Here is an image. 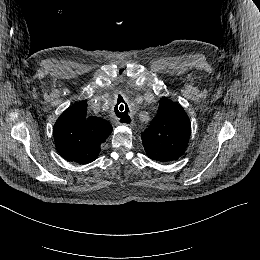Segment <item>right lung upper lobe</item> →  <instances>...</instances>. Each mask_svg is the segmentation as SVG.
Here are the masks:
<instances>
[{
	"instance_id": "cb5924a9",
	"label": "right lung upper lobe",
	"mask_w": 260,
	"mask_h": 260,
	"mask_svg": "<svg viewBox=\"0 0 260 260\" xmlns=\"http://www.w3.org/2000/svg\"><path fill=\"white\" fill-rule=\"evenodd\" d=\"M112 131L105 119L87 115V103L83 100L61 114L54 125L53 136L63 158L87 164L98 157L100 145Z\"/></svg>"
}]
</instances>
